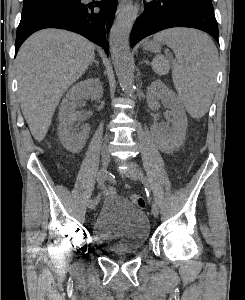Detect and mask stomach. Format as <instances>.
<instances>
[{
  "mask_svg": "<svg viewBox=\"0 0 245 300\" xmlns=\"http://www.w3.org/2000/svg\"><path fill=\"white\" fill-rule=\"evenodd\" d=\"M144 48L152 52H158L160 50V42L156 40L146 41L144 43Z\"/></svg>",
  "mask_w": 245,
  "mask_h": 300,
  "instance_id": "obj_1",
  "label": "stomach"
}]
</instances>
